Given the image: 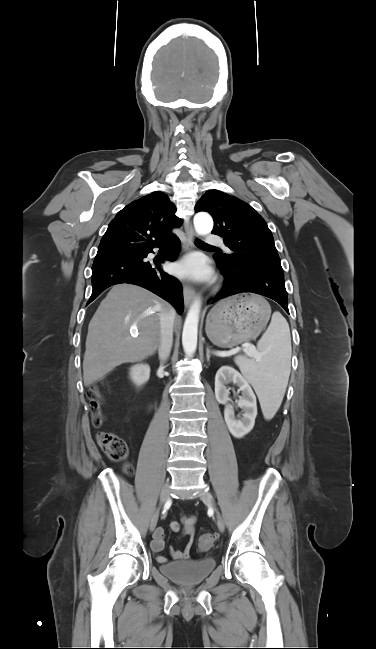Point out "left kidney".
Returning <instances> with one entry per match:
<instances>
[{
  "label": "left kidney",
  "mask_w": 376,
  "mask_h": 649,
  "mask_svg": "<svg viewBox=\"0 0 376 649\" xmlns=\"http://www.w3.org/2000/svg\"><path fill=\"white\" fill-rule=\"evenodd\" d=\"M230 382L236 384L242 393L237 402V406L244 412L241 418L235 417L233 406L228 404V401H230L229 389L226 385ZM215 396L219 403L225 405L224 418L230 433L236 438H242L248 434L255 424L257 402L256 396L245 377L234 368L223 366L215 376Z\"/></svg>",
  "instance_id": "obj_1"
}]
</instances>
